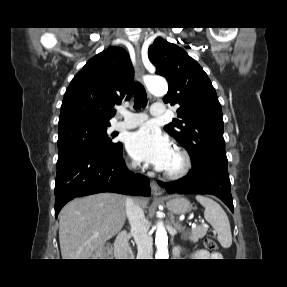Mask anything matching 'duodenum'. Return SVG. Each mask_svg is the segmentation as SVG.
Wrapping results in <instances>:
<instances>
[{"instance_id":"1","label":"duodenum","mask_w":287,"mask_h":287,"mask_svg":"<svg viewBox=\"0 0 287 287\" xmlns=\"http://www.w3.org/2000/svg\"><path fill=\"white\" fill-rule=\"evenodd\" d=\"M129 238L130 235L128 232H121L116 240V256L121 259H131L133 257L132 252L129 248Z\"/></svg>"}]
</instances>
